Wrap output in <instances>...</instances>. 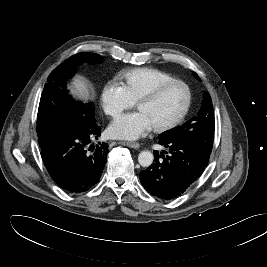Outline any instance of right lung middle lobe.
<instances>
[{"instance_id": "right-lung-middle-lobe-1", "label": "right lung middle lobe", "mask_w": 267, "mask_h": 267, "mask_svg": "<svg viewBox=\"0 0 267 267\" xmlns=\"http://www.w3.org/2000/svg\"><path fill=\"white\" fill-rule=\"evenodd\" d=\"M100 60L101 56L98 54L82 52L71 56L51 72L41 95L37 114L36 130L40 146L64 129L87 128L96 121L92 103L83 104L74 100L69 95L67 82L78 64L97 63Z\"/></svg>"}]
</instances>
